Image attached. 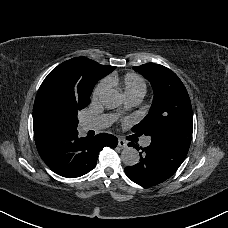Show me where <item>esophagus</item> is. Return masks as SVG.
<instances>
[{"mask_svg": "<svg viewBox=\"0 0 228 228\" xmlns=\"http://www.w3.org/2000/svg\"><path fill=\"white\" fill-rule=\"evenodd\" d=\"M118 146L121 147V148H126L128 146L127 142L122 139V138H119L118 139Z\"/></svg>", "mask_w": 228, "mask_h": 228, "instance_id": "obj_1", "label": "esophagus"}]
</instances>
